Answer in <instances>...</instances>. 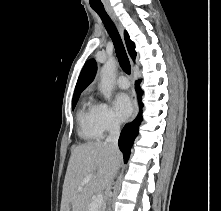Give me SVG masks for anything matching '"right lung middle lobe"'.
I'll return each instance as SVG.
<instances>
[{
    "instance_id": "obj_1",
    "label": "right lung middle lobe",
    "mask_w": 221,
    "mask_h": 211,
    "mask_svg": "<svg viewBox=\"0 0 221 211\" xmlns=\"http://www.w3.org/2000/svg\"><path fill=\"white\" fill-rule=\"evenodd\" d=\"M78 98H79V96L73 97V100H72V109L75 108L76 103H77V101H78Z\"/></svg>"
}]
</instances>
